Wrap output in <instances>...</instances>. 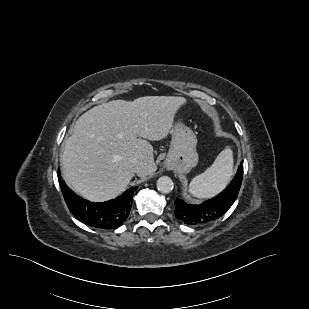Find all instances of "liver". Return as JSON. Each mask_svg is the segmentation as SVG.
<instances>
[{
  "mask_svg": "<svg viewBox=\"0 0 309 309\" xmlns=\"http://www.w3.org/2000/svg\"><path fill=\"white\" fill-rule=\"evenodd\" d=\"M185 104L182 97L145 96L88 110L64 141L60 156L64 180L90 201L117 197L135 173L144 177L156 171L149 141L162 140L171 132L175 114ZM133 157L141 163L139 172Z\"/></svg>",
  "mask_w": 309,
  "mask_h": 309,
  "instance_id": "1",
  "label": "liver"
}]
</instances>
